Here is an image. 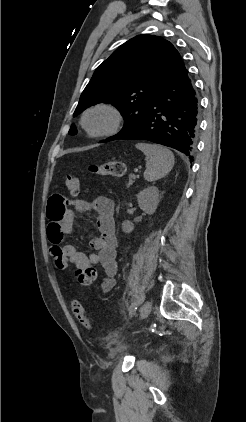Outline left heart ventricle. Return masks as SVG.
I'll return each mask as SVG.
<instances>
[{
  "mask_svg": "<svg viewBox=\"0 0 246 422\" xmlns=\"http://www.w3.org/2000/svg\"><path fill=\"white\" fill-rule=\"evenodd\" d=\"M109 123V116L105 112H94L90 114L87 118V125L88 127L93 130L97 131L103 129Z\"/></svg>",
  "mask_w": 246,
  "mask_h": 422,
  "instance_id": "1",
  "label": "left heart ventricle"
}]
</instances>
